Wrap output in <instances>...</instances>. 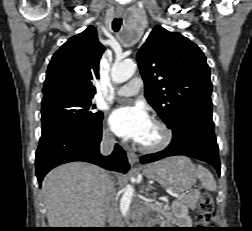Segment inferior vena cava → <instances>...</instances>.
Returning a JSON list of instances; mask_svg holds the SVG:
<instances>
[{
	"label": "inferior vena cava",
	"mask_w": 252,
	"mask_h": 231,
	"mask_svg": "<svg viewBox=\"0 0 252 231\" xmlns=\"http://www.w3.org/2000/svg\"><path fill=\"white\" fill-rule=\"evenodd\" d=\"M115 145V138L109 134H103L100 152L103 155H109L112 153ZM104 209L105 215L110 228H121L122 219L118 210V196L114 188V183L109 182L107 184L105 195H104Z\"/></svg>",
	"instance_id": "602c4592"
}]
</instances>
